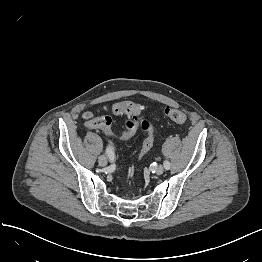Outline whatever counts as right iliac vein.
<instances>
[{
  "label": "right iliac vein",
  "mask_w": 262,
  "mask_h": 262,
  "mask_svg": "<svg viewBox=\"0 0 262 262\" xmlns=\"http://www.w3.org/2000/svg\"><path fill=\"white\" fill-rule=\"evenodd\" d=\"M98 163L100 166H106L107 165V158L104 155L99 156Z\"/></svg>",
  "instance_id": "right-iliac-vein-1"
}]
</instances>
